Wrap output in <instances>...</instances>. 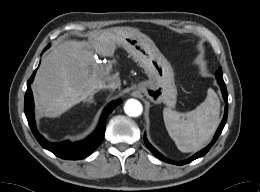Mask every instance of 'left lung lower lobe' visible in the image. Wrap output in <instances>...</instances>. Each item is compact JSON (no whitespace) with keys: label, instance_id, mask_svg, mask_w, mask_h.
<instances>
[{"label":"left lung lower lobe","instance_id":"1","mask_svg":"<svg viewBox=\"0 0 260 192\" xmlns=\"http://www.w3.org/2000/svg\"><path fill=\"white\" fill-rule=\"evenodd\" d=\"M217 82L221 88V91H222V94H223V98L225 100V114H224V117L222 119V122L221 124L219 125L216 133H215V136L212 140V142L207 146L205 147L204 149H202L201 151L197 152L195 155H193L191 158L187 159V160H184V161H181V162H175V161H171L167 158H165L163 155H161L148 141H147V138L146 136L144 135V142H145V145L147 146V148L157 157L159 158L160 160L162 161H165L167 163H172V164H175V165H184V164H187V163H190L191 161L197 159V158H200L202 156H204L211 148V146L216 142V140L218 139L219 135L221 134L224 126H225V122L227 120V114H228V100H227V90H226V85L223 81V78H217Z\"/></svg>","mask_w":260,"mask_h":192}]
</instances>
